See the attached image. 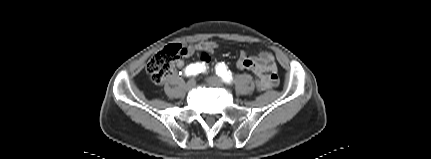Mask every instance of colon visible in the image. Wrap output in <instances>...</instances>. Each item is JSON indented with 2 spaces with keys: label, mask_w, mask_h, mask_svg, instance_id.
Masks as SVG:
<instances>
[{
  "label": "colon",
  "mask_w": 431,
  "mask_h": 159,
  "mask_svg": "<svg viewBox=\"0 0 431 159\" xmlns=\"http://www.w3.org/2000/svg\"><path fill=\"white\" fill-rule=\"evenodd\" d=\"M201 52L209 53L201 54V57L198 59L201 65L207 66L211 61L209 48L201 46L186 48L180 44L169 45L151 57L146 65V71L154 83H160L170 73L176 61L186 55H193L194 53L199 55ZM254 90L256 92L261 90V81L259 78H255Z\"/></svg>",
  "instance_id": "obj_1"
}]
</instances>
